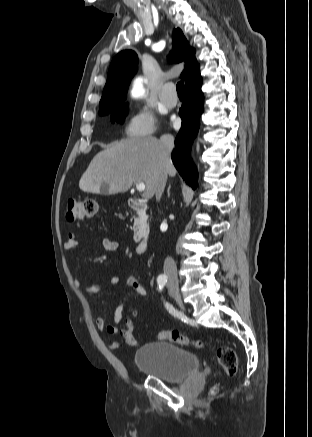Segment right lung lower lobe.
Here are the masks:
<instances>
[{
	"instance_id": "1",
	"label": "right lung lower lobe",
	"mask_w": 312,
	"mask_h": 437,
	"mask_svg": "<svg viewBox=\"0 0 312 437\" xmlns=\"http://www.w3.org/2000/svg\"><path fill=\"white\" fill-rule=\"evenodd\" d=\"M201 85V76L194 78L185 85L186 102L179 111L182 126L175 139V149L171 154L173 164L179 174L193 189L197 187L198 174L190 159V149L198 133L200 115L203 112L204 96Z\"/></svg>"
}]
</instances>
